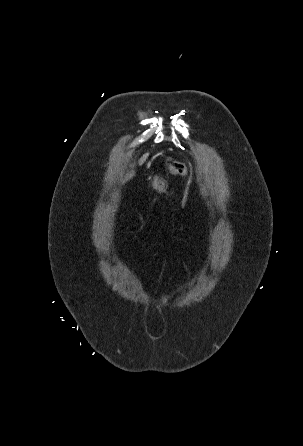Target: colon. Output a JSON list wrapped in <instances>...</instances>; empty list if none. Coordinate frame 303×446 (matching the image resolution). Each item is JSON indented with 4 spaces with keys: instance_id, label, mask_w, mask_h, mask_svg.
I'll use <instances>...</instances> for the list:
<instances>
[{
    "instance_id": "1",
    "label": "colon",
    "mask_w": 303,
    "mask_h": 446,
    "mask_svg": "<svg viewBox=\"0 0 303 446\" xmlns=\"http://www.w3.org/2000/svg\"><path fill=\"white\" fill-rule=\"evenodd\" d=\"M168 173L186 175L187 169L181 162L172 158H167L163 162L161 171L155 176L152 188L156 193H164L166 189V177Z\"/></svg>"
}]
</instances>
